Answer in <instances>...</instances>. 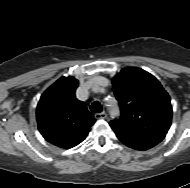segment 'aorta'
<instances>
[{
    "instance_id": "762f6f07",
    "label": "aorta",
    "mask_w": 190,
    "mask_h": 188,
    "mask_svg": "<svg viewBox=\"0 0 190 188\" xmlns=\"http://www.w3.org/2000/svg\"><path fill=\"white\" fill-rule=\"evenodd\" d=\"M106 103L109 105L110 114L113 117L119 116V108H118V104L115 98L111 96L107 97Z\"/></svg>"
}]
</instances>
